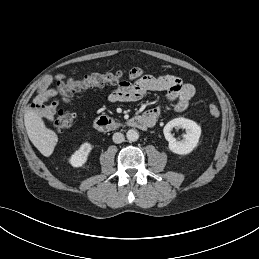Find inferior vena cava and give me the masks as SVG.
Returning a JSON list of instances; mask_svg holds the SVG:
<instances>
[{
  "mask_svg": "<svg viewBox=\"0 0 259 259\" xmlns=\"http://www.w3.org/2000/svg\"><path fill=\"white\" fill-rule=\"evenodd\" d=\"M124 135L120 132H116L113 135V142L116 144L122 143L124 141Z\"/></svg>",
  "mask_w": 259,
  "mask_h": 259,
  "instance_id": "602c4592",
  "label": "inferior vena cava"
}]
</instances>
